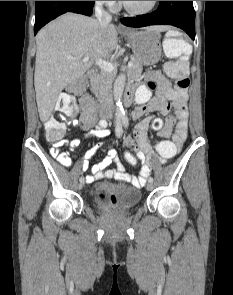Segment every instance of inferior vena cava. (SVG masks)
I'll return each mask as SVG.
<instances>
[{"instance_id":"obj_1","label":"inferior vena cava","mask_w":233,"mask_h":295,"mask_svg":"<svg viewBox=\"0 0 233 295\" xmlns=\"http://www.w3.org/2000/svg\"><path fill=\"white\" fill-rule=\"evenodd\" d=\"M103 3L104 1H96L95 3V16L99 22V24L107 28L112 20V16L103 9ZM107 106L111 109L114 110V102H113V96L112 94H109L108 100H107Z\"/></svg>"}]
</instances>
